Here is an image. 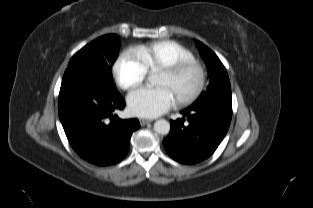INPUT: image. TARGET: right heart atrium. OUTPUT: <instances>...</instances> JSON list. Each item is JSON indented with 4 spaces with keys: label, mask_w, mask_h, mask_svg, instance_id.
Instances as JSON below:
<instances>
[{
    "label": "right heart atrium",
    "mask_w": 313,
    "mask_h": 208,
    "mask_svg": "<svg viewBox=\"0 0 313 208\" xmlns=\"http://www.w3.org/2000/svg\"><path fill=\"white\" fill-rule=\"evenodd\" d=\"M113 73L124 90L139 86L147 75V69L135 51H126L116 60Z\"/></svg>",
    "instance_id": "right-heart-atrium-1"
}]
</instances>
